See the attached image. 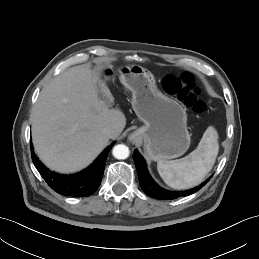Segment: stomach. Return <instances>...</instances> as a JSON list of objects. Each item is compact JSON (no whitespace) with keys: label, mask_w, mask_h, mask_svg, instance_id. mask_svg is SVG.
I'll return each instance as SVG.
<instances>
[{"label":"stomach","mask_w":259,"mask_h":259,"mask_svg":"<svg viewBox=\"0 0 259 259\" xmlns=\"http://www.w3.org/2000/svg\"><path fill=\"white\" fill-rule=\"evenodd\" d=\"M96 71L105 80L114 75L110 64L98 65ZM119 72L121 83L132 92L133 109L144 122L130 138L143 141L145 153L154 161L183 155L191 143L185 109L157 89L149 70L129 65L122 66Z\"/></svg>","instance_id":"stomach-1"}]
</instances>
